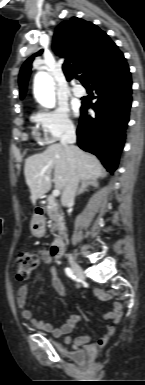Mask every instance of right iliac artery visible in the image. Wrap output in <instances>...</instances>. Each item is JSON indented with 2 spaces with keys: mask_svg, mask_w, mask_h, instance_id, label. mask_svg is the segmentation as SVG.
<instances>
[{
  "mask_svg": "<svg viewBox=\"0 0 145 385\" xmlns=\"http://www.w3.org/2000/svg\"><path fill=\"white\" fill-rule=\"evenodd\" d=\"M65 273L67 274L68 277L71 279L75 280L76 276L74 275L73 271L70 268H65Z\"/></svg>",
  "mask_w": 145,
  "mask_h": 385,
  "instance_id": "obj_1",
  "label": "right iliac artery"
}]
</instances>
